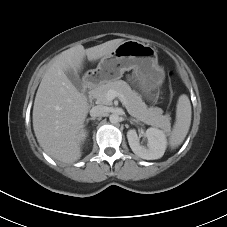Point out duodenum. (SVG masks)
<instances>
[{"instance_id":"1","label":"duodenum","mask_w":227,"mask_h":227,"mask_svg":"<svg viewBox=\"0 0 227 227\" xmlns=\"http://www.w3.org/2000/svg\"><path fill=\"white\" fill-rule=\"evenodd\" d=\"M95 82L92 78H86L83 83L84 93L89 97L94 89Z\"/></svg>"}]
</instances>
